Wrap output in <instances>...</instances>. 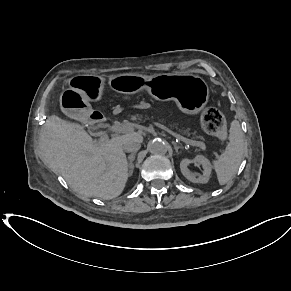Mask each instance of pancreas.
<instances>
[{"label":"pancreas","mask_w":291,"mask_h":291,"mask_svg":"<svg viewBox=\"0 0 291 291\" xmlns=\"http://www.w3.org/2000/svg\"><path fill=\"white\" fill-rule=\"evenodd\" d=\"M130 119L134 122L140 123L145 122L146 120H158L161 123H167V117L158 111L145 112L144 114H135L131 115ZM169 126L172 129H175L180 134L191 137L192 139L198 138V135L195 132H191L189 128H185L182 124L175 122L173 120L168 121Z\"/></svg>","instance_id":"cf45deb5"}]
</instances>
